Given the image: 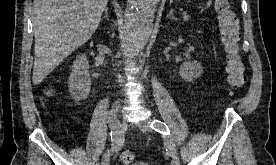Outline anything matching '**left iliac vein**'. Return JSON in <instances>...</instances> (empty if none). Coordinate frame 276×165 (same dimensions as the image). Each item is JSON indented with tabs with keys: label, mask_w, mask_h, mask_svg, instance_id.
<instances>
[{
	"label": "left iliac vein",
	"mask_w": 276,
	"mask_h": 165,
	"mask_svg": "<svg viewBox=\"0 0 276 165\" xmlns=\"http://www.w3.org/2000/svg\"><path fill=\"white\" fill-rule=\"evenodd\" d=\"M150 123H151L150 120L147 119V120H143V121L138 122V126L143 131H150V130H152ZM171 157H172L171 165H180V160H179V157H178L176 152H173L171 154Z\"/></svg>",
	"instance_id": "4c4485c4"
}]
</instances>
